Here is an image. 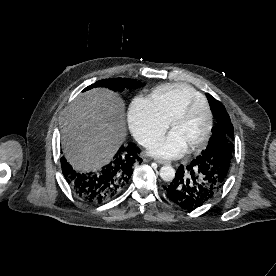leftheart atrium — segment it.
Listing matches in <instances>:
<instances>
[{"instance_id":"39dd6f15","label":"left heart atrium","mask_w":276,"mask_h":276,"mask_svg":"<svg viewBox=\"0 0 276 276\" xmlns=\"http://www.w3.org/2000/svg\"><path fill=\"white\" fill-rule=\"evenodd\" d=\"M187 149L183 139L172 130L165 137L152 144L149 152L159 158L173 159L182 156Z\"/></svg>"}]
</instances>
